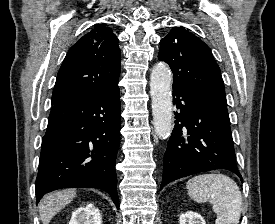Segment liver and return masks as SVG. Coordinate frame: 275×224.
I'll use <instances>...</instances> for the list:
<instances>
[{
	"mask_svg": "<svg viewBox=\"0 0 275 224\" xmlns=\"http://www.w3.org/2000/svg\"><path fill=\"white\" fill-rule=\"evenodd\" d=\"M76 196L75 189H66L45 196L39 204L40 219L49 224L51 219Z\"/></svg>",
	"mask_w": 275,
	"mask_h": 224,
	"instance_id": "liver-1",
	"label": "liver"
}]
</instances>
